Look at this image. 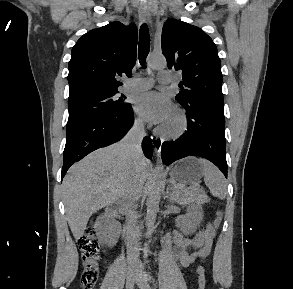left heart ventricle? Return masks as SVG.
Wrapping results in <instances>:
<instances>
[{"mask_svg": "<svg viewBox=\"0 0 293 289\" xmlns=\"http://www.w3.org/2000/svg\"><path fill=\"white\" fill-rule=\"evenodd\" d=\"M163 125L170 129L174 128L177 125L176 117L172 114L170 118Z\"/></svg>", "mask_w": 293, "mask_h": 289, "instance_id": "obj_1", "label": "left heart ventricle"}]
</instances>
